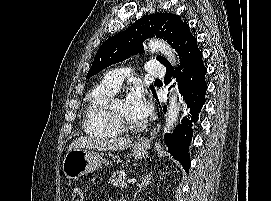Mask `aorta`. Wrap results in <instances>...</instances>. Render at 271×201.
Returning <instances> with one entry per match:
<instances>
[{
    "label": "aorta",
    "instance_id": "aorta-1",
    "mask_svg": "<svg viewBox=\"0 0 271 201\" xmlns=\"http://www.w3.org/2000/svg\"><path fill=\"white\" fill-rule=\"evenodd\" d=\"M148 49L152 52H160L164 57L168 59V61L175 66L176 59H175V51L163 40L158 39H151L147 42ZM178 90L177 88H173L172 94L170 97L168 109H167V116H166V126L164 131L169 132L171 131L178 119L180 105L178 103Z\"/></svg>",
    "mask_w": 271,
    "mask_h": 201
}]
</instances>
